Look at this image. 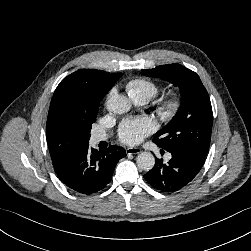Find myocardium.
Returning a JSON list of instances; mask_svg holds the SVG:
<instances>
[{
	"instance_id": "f54148a6",
	"label": "myocardium",
	"mask_w": 251,
	"mask_h": 251,
	"mask_svg": "<svg viewBox=\"0 0 251 251\" xmlns=\"http://www.w3.org/2000/svg\"><path fill=\"white\" fill-rule=\"evenodd\" d=\"M181 104V97L173 93L159 102L157 112L162 119L171 120L180 110Z\"/></svg>"
}]
</instances>
